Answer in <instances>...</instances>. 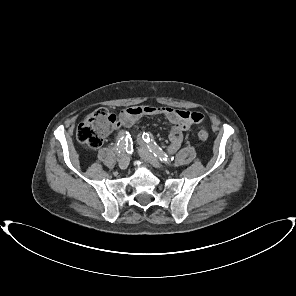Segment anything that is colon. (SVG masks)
Masks as SVG:
<instances>
[{
	"instance_id": "1",
	"label": "colon",
	"mask_w": 296,
	"mask_h": 296,
	"mask_svg": "<svg viewBox=\"0 0 296 296\" xmlns=\"http://www.w3.org/2000/svg\"><path fill=\"white\" fill-rule=\"evenodd\" d=\"M194 122H201L204 118L201 113H194L191 116ZM117 117L104 108H99L88 115L77 127V139L89 148L95 149L101 146L103 138L116 124ZM209 134L206 130L198 132V138L206 141Z\"/></svg>"
}]
</instances>
